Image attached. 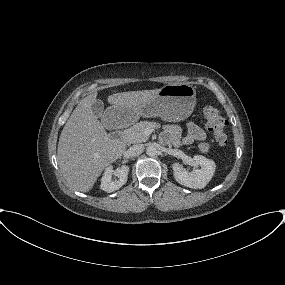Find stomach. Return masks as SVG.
<instances>
[{
    "label": "stomach",
    "instance_id": "stomach-1",
    "mask_svg": "<svg viewBox=\"0 0 285 285\" xmlns=\"http://www.w3.org/2000/svg\"><path fill=\"white\" fill-rule=\"evenodd\" d=\"M195 104V88L187 83H179L163 86L154 98L136 107L126 108L113 105L110 110L120 123L126 122L127 118L137 120L140 117H159L162 120L176 122L188 117Z\"/></svg>",
    "mask_w": 285,
    "mask_h": 285
}]
</instances>
